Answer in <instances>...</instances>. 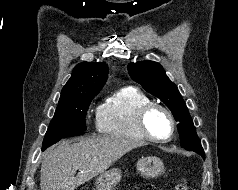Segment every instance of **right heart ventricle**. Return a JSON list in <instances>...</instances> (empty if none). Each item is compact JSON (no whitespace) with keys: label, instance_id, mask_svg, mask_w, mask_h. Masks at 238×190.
Listing matches in <instances>:
<instances>
[{"label":"right heart ventricle","instance_id":"e07e8e85","mask_svg":"<svg viewBox=\"0 0 238 190\" xmlns=\"http://www.w3.org/2000/svg\"><path fill=\"white\" fill-rule=\"evenodd\" d=\"M149 102V97L134 87H124L115 91L97 110L98 132L134 141L147 140L137 125V113Z\"/></svg>","mask_w":238,"mask_h":190}]
</instances>
